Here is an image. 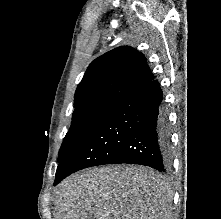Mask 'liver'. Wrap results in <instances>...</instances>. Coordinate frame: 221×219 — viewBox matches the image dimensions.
<instances>
[{
    "label": "liver",
    "mask_w": 221,
    "mask_h": 219,
    "mask_svg": "<svg viewBox=\"0 0 221 219\" xmlns=\"http://www.w3.org/2000/svg\"><path fill=\"white\" fill-rule=\"evenodd\" d=\"M54 219H171L173 194L150 168H89L63 180L56 189Z\"/></svg>",
    "instance_id": "1"
}]
</instances>
